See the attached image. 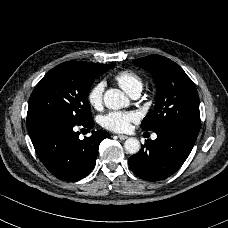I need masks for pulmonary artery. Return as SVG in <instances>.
<instances>
[{"label":"pulmonary artery","instance_id":"1","mask_svg":"<svg viewBox=\"0 0 228 228\" xmlns=\"http://www.w3.org/2000/svg\"><path fill=\"white\" fill-rule=\"evenodd\" d=\"M140 96V92H134L133 94H131V97L134 98V99H137L138 97ZM157 138V135L156 134H153L152 135V139L155 140Z\"/></svg>","mask_w":228,"mask_h":228}]
</instances>
